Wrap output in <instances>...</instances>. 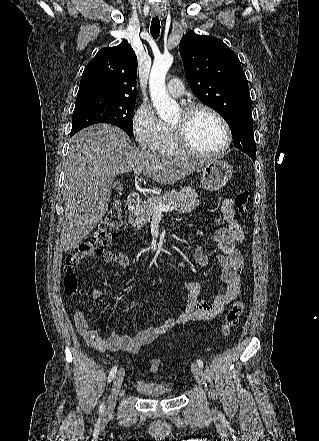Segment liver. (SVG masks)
I'll return each mask as SVG.
<instances>
[{"label": "liver", "instance_id": "liver-1", "mask_svg": "<svg viewBox=\"0 0 319 441\" xmlns=\"http://www.w3.org/2000/svg\"><path fill=\"white\" fill-rule=\"evenodd\" d=\"M203 165L139 150L113 125L95 124L78 132L70 139L64 167V251L74 250L103 218L117 175L140 168L161 184H173Z\"/></svg>", "mask_w": 319, "mask_h": 441}]
</instances>
